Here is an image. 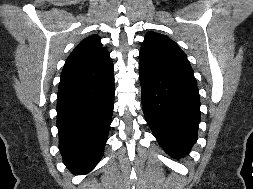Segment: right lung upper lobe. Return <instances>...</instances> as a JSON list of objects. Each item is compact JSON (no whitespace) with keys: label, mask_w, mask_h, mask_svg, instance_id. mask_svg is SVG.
Here are the masks:
<instances>
[{"label":"right lung upper lobe","mask_w":253,"mask_h":189,"mask_svg":"<svg viewBox=\"0 0 253 189\" xmlns=\"http://www.w3.org/2000/svg\"><path fill=\"white\" fill-rule=\"evenodd\" d=\"M113 63L100 37L82 40L67 58L60 82L84 83L100 80L113 72Z\"/></svg>","instance_id":"right-lung-upper-lobe-1"}]
</instances>
